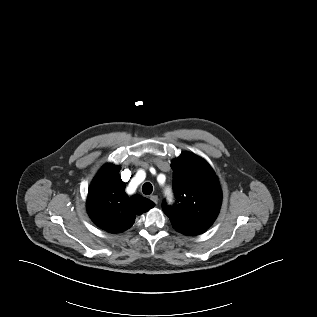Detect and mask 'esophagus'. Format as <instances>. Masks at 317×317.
<instances>
[{"label": "esophagus", "mask_w": 317, "mask_h": 317, "mask_svg": "<svg viewBox=\"0 0 317 317\" xmlns=\"http://www.w3.org/2000/svg\"><path fill=\"white\" fill-rule=\"evenodd\" d=\"M150 199H151L155 204H157L158 201H159V198H158L157 195H151V196H150Z\"/></svg>", "instance_id": "esophagus-1"}]
</instances>
